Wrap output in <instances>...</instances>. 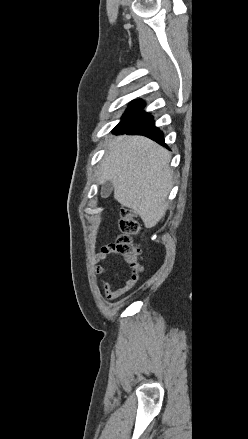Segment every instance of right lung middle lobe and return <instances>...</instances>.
<instances>
[{"instance_id": "right-lung-middle-lobe-1", "label": "right lung middle lobe", "mask_w": 248, "mask_h": 439, "mask_svg": "<svg viewBox=\"0 0 248 439\" xmlns=\"http://www.w3.org/2000/svg\"><path fill=\"white\" fill-rule=\"evenodd\" d=\"M143 107H144V102H142L140 100L134 101L133 103H131L129 105V107L125 111V113H124V115L122 117V121L124 119L128 118L129 116L133 115L137 111L141 110Z\"/></svg>"}]
</instances>
